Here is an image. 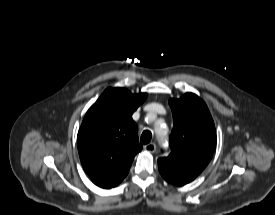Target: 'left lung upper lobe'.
Returning <instances> with one entry per match:
<instances>
[{"label":"left lung upper lobe","mask_w":275,"mask_h":215,"mask_svg":"<svg viewBox=\"0 0 275 215\" xmlns=\"http://www.w3.org/2000/svg\"><path fill=\"white\" fill-rule=\"evenodd\" d=\"M174 124L171 153L158 159L162 177L182 186L194 180L208 165L216 147V131L205 102L193 93L170 99Z\"/></svg>","instance_id":"left-lung-upper-lobe-1"}]
</instances>
